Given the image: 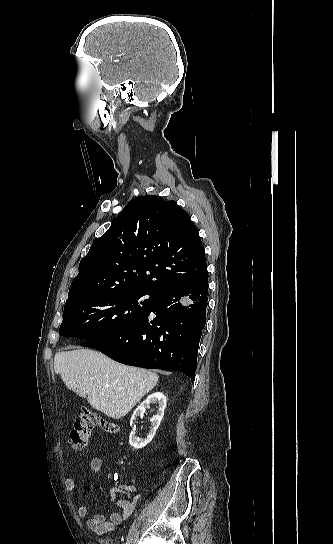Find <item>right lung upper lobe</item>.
<instances>
[{
  "mask_svg": "<svg viewBox=\"0 0 333 544\" xmlns=\"http://www.w3.org/2000/svg\"><path fill=\"white\" fill-rule=\"evenodd\" d=\"M206 271L204 247L189 215L175 201L140 196L92 243L66 303L107 291L156 295Z\"/></svg>",
  "mask_w": 333,
  "mask_h": 544,
  "instance_id": "cb5924a9",
  "label": "right lung upper lobe"
}]
</instances>
